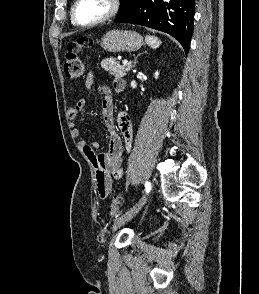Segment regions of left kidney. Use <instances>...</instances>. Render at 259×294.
I'll return each instance as SVG.
<instances>
[{
	"label": "left kidney",
	"mask_w": 259,
	"mask_h": 294,
	"mask_svg": "<svg viewBox=\"0 0 259 294\" xmlns=\"http://www.w3.org/2000/svg\"><path fill=\"white\" fill-rule=\"evenodd\" d=\"M158 75H159V72L156 71V72H155V75H154L156 79L158 78Z\"/></svg>",
	"instance_id": "left-kidney-1"
}]
</instances>
